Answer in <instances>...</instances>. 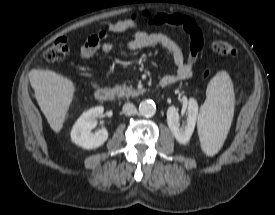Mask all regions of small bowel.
I'll return each mask as SVG.
<instances>
[{
  "mask_svg": "<svg viewBox=\"0 0 275 215\" xmlns=\"http://www.w3.org/2000/svg\"><path fill=\"white\" fill-rule=\"evenodd\" d=\"M164 15H155L148 19L150 25H160L165 23ZM135 30L132 38L127 42L126 49L135 51L147 47L160 46L164 48L172 57L177 67L176 73L165 75L162 79L169 80L172 83L176 81H184L192 76L193 67L197 62L200 51L203 47V36L197 28V32L191 37L190 52L187 59L184 58L179 45L167 35L160 32H146L137 29L131 20H119L106 22L102 24L97 35L90 37L80 50V55L84 59H89L97 53H109L117 49V45L112 42H105V38L109 33H120L126 30ZM90 86L94 90H98L100 85L91 80Z\"/></svg>",
  "mask_w": 275,
  "mask_h": 215,
  "instance_id": "1",
  "label": "small bowel"
}]
</instances>
